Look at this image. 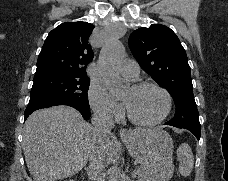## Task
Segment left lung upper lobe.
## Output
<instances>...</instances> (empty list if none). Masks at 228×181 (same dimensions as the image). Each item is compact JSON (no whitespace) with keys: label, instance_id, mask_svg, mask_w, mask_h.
Here are the masks:
<instances>
[{"label":"left lung upper lobe","instance_id":"1","mask_svg":"<svg viewBox=\"0 0 228 181\" xmlns=\"http://www.w3.org/2000/svg\"><path fill=\"white\" fill-rule=\"evenodd\" d=\"M129 46L141 68L174 99L176 113L166 123L201 128L187 55L175 33L167 26L153 24L132 32Z\"/></svg>","mask_w":228,"mask_h":181}]
</instances>
